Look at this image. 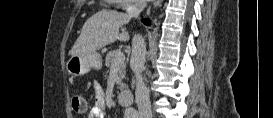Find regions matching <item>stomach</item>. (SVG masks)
I'll use <instances>...</instances> for the list:
<instances>
[{
    "label": "stomach",
    "mask_w": 273,
    "mask_h": 118,
    "mask_svg": "<svg viewBox=\"0 0 273 118\" xmlns=\"http://www.w3.org/2000/svg\"><path fill=\"white\" fill-rule=\"evenodd\" d=\"M102 57L97 52L85 55H74L68 60L66 69L72 76H83L91 69H101Z\"/></svg>",
    "instance_id": "0dacf381"
}]
</instances>
